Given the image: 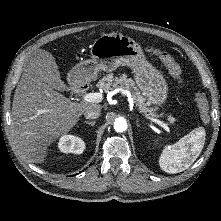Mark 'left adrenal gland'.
Returning a JSON list of instances; mask_svg holds the SVG:
<instances>
[{"instance_id":"1","label":"left adrenal gland","mask_w":221,"mask_h":221,"mask_svg":"<svg viewBox=\"0 0 221 221\" xmlns=\"http://www.w3.org/2000/svg\"><path fill=\"white\" fill-rule=\"evenodd\" d=\"M139 120L137 119V121H136V125H137V127H140V125H139Z\"/></svg>"}]
</instances>
